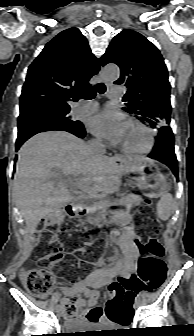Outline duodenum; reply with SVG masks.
<instances>
[{
    "label": "duodenum",
    "instance_id": "duodenum-1",
    "mask_svg": "<svg viewBox=\"0 0 194 336\" xmlns=\"http://www.w3.org/2000/svg\"><path fill=\"white\" fill-rule=\"evenodd\" d=\"M88 210V206L81 203H73L68 207V215L72 218H76L84 215Z\"/></svg>",
    "mask_w": 194,
    "mask_h": 336
}]
</instances>
